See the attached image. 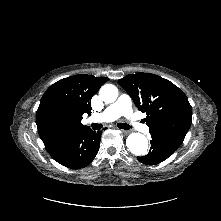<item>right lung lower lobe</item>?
Listing matches in <instances>:
<instances>
[{"label": "right lung lower lobe", "instance_id": "obj_1", "mask_svg": "<svg viewBox=\"0 0 221 221\" xmlns=\"http://www.w3.org/2000/svg\"><path fill=\"white\" fill-rule=\"evenodd\" d=\"M102 131L87 129L48 148L51 157L61 165L80 169L89 165L99 150Z\"/></svg>", "mask_w": 221, "mask_h": 221}]
</instances>
